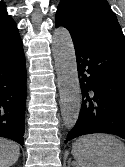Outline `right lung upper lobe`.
I'll return each instance as SVG.
<instances>
[{
    "label": "right lung upper lobe",
    "mask_w": 125,
    "mask_h": 167,
    "mask_svg": "<svg viewBox=\"0 0 125 167\" xmlns=\"http://www.w3.org/2000/svg\"><path fill=\"white\" fill-rule=\"evenodd\" d=\"M5 4L0 2V33L17 29L15 22L7 15Z\"/></svg>",
    "instance_id": "cb5924a9"
}]
</instances>
